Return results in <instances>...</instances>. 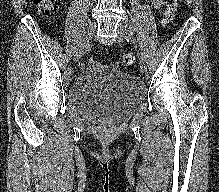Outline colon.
Returning <instances> with one entry per match:
<instances>
[{
  "label": "colon",
  "mask_w": 219,
  "mask_h": 192,
  "mask_svg": "<svg viewBox=\"0 0 219 192\" xmlns=\"http://www.w3.org/2000/svg\"><path fill=\"white\" fill-rule=\"evenodd\" d=\"M34 5L40 11L42 15H50L55 10L54 0H33ZM176 7L174 4H169L163 13V22L170 23L174 20ZM135 56L131 53L123 55L121 64L124 66H130L135 63ZM94 60H90L89 64L93 65ZM114 65L116 63H113Z\"/></svg>",
  "instance_id": "1"
}]
</instances>
